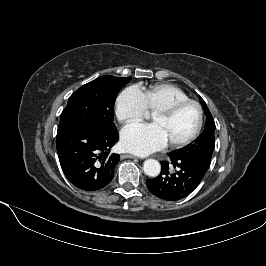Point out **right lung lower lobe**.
I'll return each mask as SVG.
<instances>
[{
	"label": "right lung lower lobe",
	"mask_w": 266,
	"mask_h": 266,
	"mask_svg": "<svg viewBox=\"0 0 266 266\" xmlns=\"http://www.w3.org/2000/svg\"><path fill=\"white\" fill-rule=\"evenodd\" d=\"M117 141L116 127L108 130L75 124L58 127L56 148L67 179L84 191L107 186L120 161L118 154L110 153Z\"/></svg>",
	"instance_id": "obj_1"
}]
</instances>
